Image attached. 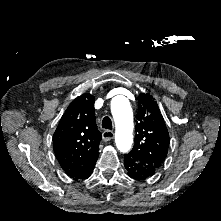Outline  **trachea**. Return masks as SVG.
I'll list each match as a JSON object with an SVG mask.
<instances>
[{
	"instance_id": "3493384b",
	"label": "trachea",
	"mask_w": 221,
	"mask_h": 221,
	"mask_svg": "<svg viewBox=\"0 0 221 221\" xmlns=\"http://www.w3.org/2000/svg\"><path fill=\"white\" fill-rule=\"evenodd\" d=\"M102 127L104 129L112 130V122L109 117H104L102 120Z\"/></svg>"
}]
</instances>
